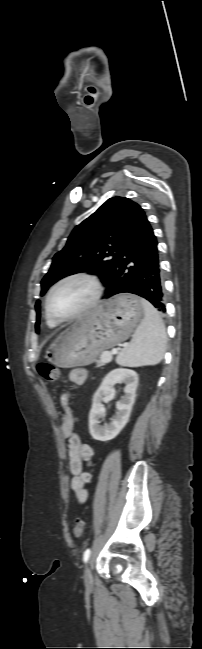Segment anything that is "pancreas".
Wrapping results in <instances>:
<instances>
[{"mask_svg": "<svg viewBox=\"0 0 202 649\" xmlns=\"http://www.w3.org/2000/svg\"><path fill=\"white\" fill-rule=\"evenodd\" d=\"M105 364H106V363L103 362V361L101 360V358H100L99 360L96 361V367H101V366H104Z\"/></svg>", "mask_w": 202, "mask_h": 649, "instance_id": "cf45deb5", "label": "pancreas"}]
</instances>
